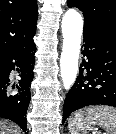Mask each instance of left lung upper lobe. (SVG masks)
<instances>
[{"mask_svg": "<svg viewBox=\"0 0 116 134\" xmlns=\"http://www.w3.org/2000/svg\"><path fill=\"white\" fill-rule=\"evenodd\" d=\"M68 7L83 12L84 30L97 29L116 34V0H68Z\"/></svg>", "mask_w": 116, "mask_h": 134, "instance_id": "5c2ea615", "label": "left lung upper lobe"}]
</instances>
